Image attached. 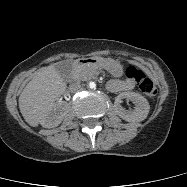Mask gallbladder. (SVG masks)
<instances>
[{"mask_svg": "<svg viewBox=\"0 0 187 187\" xmlns=\"http://www.w3.org/2000/svg\"><path fill=\"white\" fill-rule=\"evenodd\" d=\"M55 68L63 79H67L72 70V62L69 60L58 62Z\"/></svg>", "mask_w": 187, "mask_h": 187, "instance_id": "bac80fb5", "label": "gallbladder"}]
</instances>
